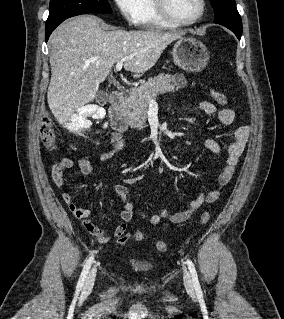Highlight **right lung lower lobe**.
<instances>
[{
    "mask_svg": "<svg viewBox=\"0 0 284 319\" xmlns=\"http://www.w3.org/2000/svg\"><path fill=\"white\" fill-rule=\"evenodd\" d=\"M63 22V21H62ZM62 22H60V23H62ZM60 23H58V24H56V25H54V26H52V27H49V28H45V39H46V41L48 40V38H49V36H50V34L53 32V30L60 24Z\"/></svg>",
    "mask_w": 284,
    "mask_h": 319,
    "instance_id": "1",
    "label": "right lung lower lobe"
}]
</instances>
